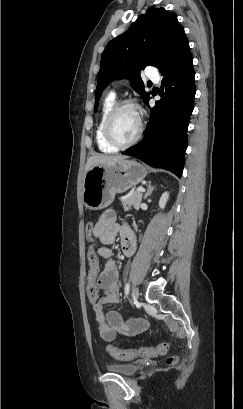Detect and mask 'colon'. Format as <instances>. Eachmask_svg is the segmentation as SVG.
Instances as JSON below:
<instances>
[{
    "label": "colon",
    "instance_id": "obj_1",
    "mask_svg": "<svg viewBox=\"0 0 243 409\" xmlns=\"http://www.w3.org/2000/svg\"><path fill=\"white\" fill-rule=\"evenodd\" d=\"M94 223L89 221L86 223L85 231L87 236L91 239L93 235ZM89 258L93 259L95 257V251L90 249L88 252ZM87 294L91 302L95 303L99 298V291L94 286L87 287ZM168 350L167 343L163 342L155 347H137L134 349H117L112 346L107 347V352L118 360L131 361L137 358L154 357L160 354H164ZM179 361L177 356H171L168 358V363L170 365H175Z\"/></svg>",
    "mask_w": 243,
    "mask_h": 409
}]
</instances>
